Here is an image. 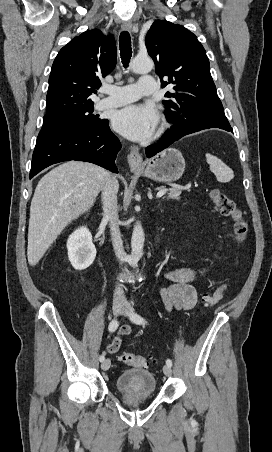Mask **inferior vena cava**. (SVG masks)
<instances>
[{
	"label": "inferior vena cava",
	"mask_w": 272,
	"mask_h": 452,
	"mask_svg": "<svg viewBox=\"0 0 272 452\" xmlns=\"http://www.w3.org/2000/svg\"><path fill=\"white\" fill-rule=\"evenodd\" d=\"M117 180L110 178L102 189V208L103 218L110 224L111 240L116 257L122 263L126 259V254L123 249V241L121 239L119 229V217L117 211ZM115 300H123L124 292L121 285H118L114 291Z\"/></svg>",
	"instance_id": "obj_1"
}]
</instances>
